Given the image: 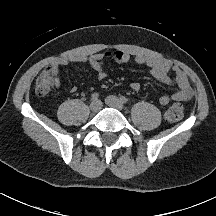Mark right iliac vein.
<instances>
[{"instance_id": "obj_1", "label": "right iliac vein", "mask_w": 216, "mask_h": 216, "mask_svg": "<svg viewBox=\"0 0 216 216\" xmlns=\"http://www.w3.org/2000/svg\"><path fill=\"white\" fill-rule=\"evenodd\" d=\"M101 107H102V104L99 100L92 101L90 104V109L93 112H98L101 109Z\"/></svg>"}]
</instances>
